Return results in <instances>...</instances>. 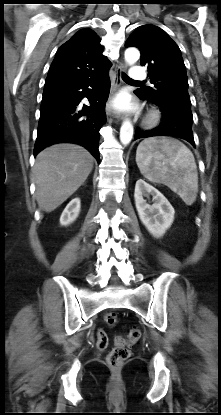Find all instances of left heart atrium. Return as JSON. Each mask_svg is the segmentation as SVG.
<instances>
[{
	"mask_svg": "<svg viewBox=\"0 0 221 415\" xmlns=\"http://www.w3.org/2000/svg\"><path fill=\"white\" fill-rule=\"evenodd\" d=\"M114 108L118 110H128L131 109V103L127 95H121L119 96L114 102H113Z\"/></svg>",
	"mask_w": 221,
	"mask_h": 415,
	"instance_id": "obj_1",
	"label": "left heart atrium"
}]
</instances>
